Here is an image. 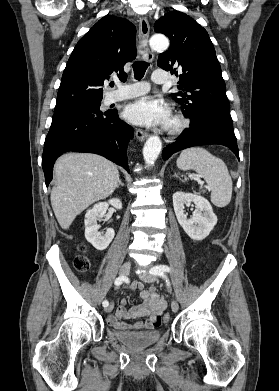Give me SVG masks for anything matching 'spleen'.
Instances as JSON below:
<instances>
[{
    "instance_id": "3e777b00",
    "label": "spleen",
    "mask_w": 279,
    "mask_h": 391,
    "mask_svg": "<svg viewBox=\"0 0 279 391\" xmlns=\"http://www.w3.org/2000/svg\"><path fill=\"white\" fill-rule=\"evenodd\" d=\"M181 170H195L205 179L211 190V202L217 207L227 206L232 197V179L225 163L202 147L183 150L177 159Z\"/></svg>"
}]
</instances>
